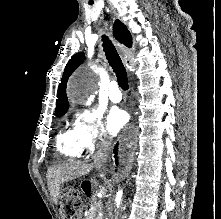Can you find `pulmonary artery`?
<instances>
[{"label":"pulmonary artery","mask_w":221,"mask_h":219,"mask_svg":"<svg viewBox=\"0 0 221 219\" xmlns=\"http://www.w3.org/2000/svg\"><path fill=\"white\" fill-rule=\"evenodd\" d=\"M108 96L109 99L114 103H118L122 100V93L119 90V85L116 81H112L110 83Z\"/></svg>","instance_id":"obj_1"}]
</instances>
